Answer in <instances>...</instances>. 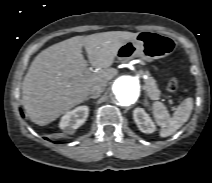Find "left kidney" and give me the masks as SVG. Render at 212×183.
Masks as SVG:
<instances>
[{
    "label": "left kidney",
    "instance_id": "5707ae66",
    "mask_svg": "<svg viewBox=\"0 0 212 183\" xmlns=\"http://www.w3.org/2000/svg\"><path fill=\"white\" fill-rule=\"evenodd\" d=\"M133 118L141 132L150 134L155 131L154 122L143 108L134 109Z\"/></svg>",
    "mask_w": 212,
    "mask_h": 183
}]
</instances>
